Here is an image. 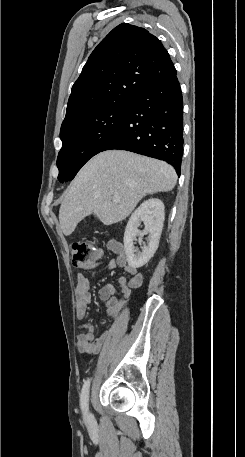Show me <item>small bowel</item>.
<instances>
[{"mask_svg": "<svg viewBox=\"0 0 245 457\" xmlns=\"http://www.w3.org/2000/svg\"><path fill=\"white\" fill-rule=\"evenodd\" d=\"M107 248L117 254L115 259L106 263L98 262L101 251H97L96 256L88 263L82 266L83 269H90L97 266H103L106 270H113L116 267L124 269L130 278L119 277L117 279V289L112 284H104L99 290L98 297L106 305L108 314L117 320L120 313L127 305L131 291L141 286L143 276L139 270L131 265L124 254L123 246L120 242L110 239L107 242ZM76 316L80 320V331L77 334V346L81 353L94 355L102 347H113L118 345L123 336L124 328L114 322L98 338H95L94 326L86 321L87 307L91 302L90 280L83 274H78L76 279Z\"/></svg>", "mask_w": 245, "mask_h": 457, "instance_id": "small-bowel-1", "label": "small bowel"}]
</instances>
